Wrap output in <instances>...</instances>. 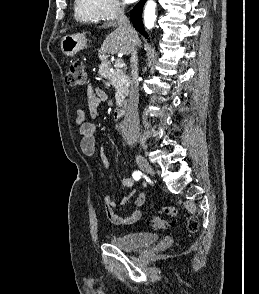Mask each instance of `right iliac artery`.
Masks as SVG:
<instances>
[{
  "instance_id": "1",
  "label": "right iliac artery",
  "mask_w": 259,
  "mask_h": 294,
  "mask_svg": "<svg viewBox=\"0 0 259 294\" xmlns=\"http://www.w3.org/2000/svg\"><path fill=\"white\" fill-rule=\"evenodd\" d=\"M141 175H142V173H141L140 171H135V172L133 173V178H134L135 180H139L140 177H141Z\"/></svg>"
}]
</instances>
